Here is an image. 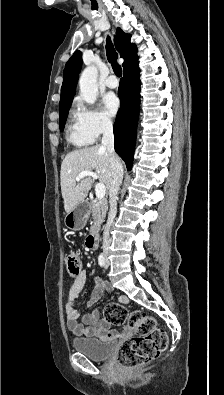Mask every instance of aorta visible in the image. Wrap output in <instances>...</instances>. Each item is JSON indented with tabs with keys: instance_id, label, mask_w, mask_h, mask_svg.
<instances>
[{
	"instance_id": "762f6f07",
	"label": "aorta",
	"mask_w": 224,
	"mask_h": 395,
	"mask_svg": "<svg viewBox=\"0 0 224 395\" xmlns=\"http://www.w3.org/2000/svg\"><path fill=\"white\" fill-rule=\"evenodd\" d=\"M98 69L95 66L86 67L79 79L80 96L88 104H94L98 95Z\"/></svg>"
}]
</instances>
